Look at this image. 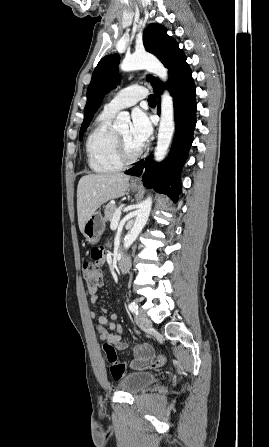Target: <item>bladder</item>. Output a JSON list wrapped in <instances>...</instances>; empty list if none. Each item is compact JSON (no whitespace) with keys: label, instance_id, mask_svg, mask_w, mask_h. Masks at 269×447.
<instances>
[{"label":"bladder","instance_id":"1","mask_svg":"<svg viewBox=\"0 0 269 447\" xmlns=\"http://www.w3.org/2000/svg\"><path fill=\"white\" fill-rule=\"evenodd\" d=\"M158 373L151 371L144 372H127L120 375L117 381V389L119 392L137 393L141 388L149 387L153 381L157 380Z\"/></svg>","mask_w":269,"mask_h":447}]
</instances>
